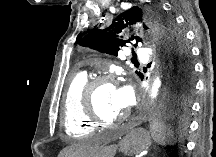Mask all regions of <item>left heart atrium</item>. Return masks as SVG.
<instances>
[{"mask_svg":"<svg viewBox=\"0 0 216 157\" xmlns=\"http://www.w3.org/2000/svg\"><path fill=\"white\" fill-rule=\"evenodd\" d=\"M133 102V93L129 86L116 87V103L121 109L128 108Z\"/></svg>","mask_w":216,"mask_h":157,"instance_id":"1","label":"left heart atrium"}]
</instances>
